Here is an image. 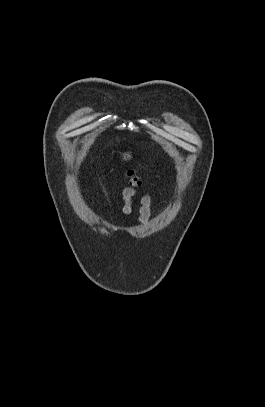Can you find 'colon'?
<instances>
[{
	"mask_svg": "<svg viewBox=\"0 0 265 407\" xmlns=\"http://www.w3.org/2000/svg\"><path fill=\"white\" fill-rule=\"evenodd\" d=\"M129 184L133 187L139 186L141 184V177L135 170H129L128 173Z\"/></svg>",
	"mask_w": 265,
	"mask_h": 407,
	"instance_id": "5ec220e1",
	"label": "colon"
}]
</instances>
